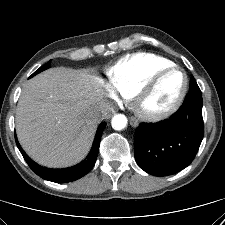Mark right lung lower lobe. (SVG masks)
Returning a JSON list of instances; mask_svg holds the SVG:
<instances>
[{"mask_svg": "<svg viewBox=\"0 0 225 225\" xmlns=\"http://www.w3.org/2000/svg\"><path fill=\"white\" fill-rule=\"evenodd\" d=\"M105 126H106L105 122L99 125L92 149L88 154V156L81 163L73 167L64 169H50L38 165L28 157V155L24 152V150H22L16 137L15 140L22 156L24 157L25 161L28 163L29 167L33 170L34 173H36L38 176L48 181L56 183H67L83 177L92 169L97 159L100 140Z\"/></svg>", "mask_w": 225, "mask_h": 225, "instance_id": "obj_1", "label": "right lung lower lobe"}]
</instances>
